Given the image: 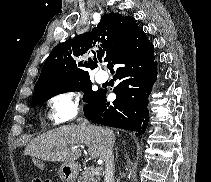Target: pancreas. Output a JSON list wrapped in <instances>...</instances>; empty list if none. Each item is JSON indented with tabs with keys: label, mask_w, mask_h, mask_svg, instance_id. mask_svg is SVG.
<instances>
[{
	"label": "pancreas",
	"mask_w": 211,
	"mask_h": 182,
	"mask_svg": "<svg viewBox=\"0 0 211 182\" xmlns=\"http://www.w3.org/2000/svg\"><path fill=\"white\" fill-rule=\"evenodd\" d=\"M96 170L97 168L94 167L86 169L81 173L77 182H100L101 171L97 173Z\"/></svg>",
	"instance_id": "obj_1"
}]
</instances>
